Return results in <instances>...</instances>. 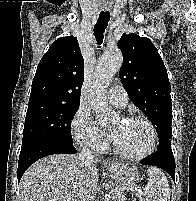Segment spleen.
<instances>
[{"label":"spleen","instance_id":"spleen-1","mask_svg":"<svg viewBox=\"0 0 196 201\" xmlns=\"http://www.w3.org/2000/svg\"><path fill=\"white\" fill-rule=\"evenodd\" d=\"M148 183L144 189L143 201H169L170 186L165 174L156 167H149Z\"/></svg>","mask_w":196,"mask_h":201}]
</instances>
